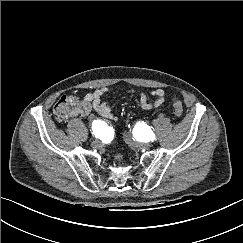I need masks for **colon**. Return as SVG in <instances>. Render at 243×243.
I'll list each match as a JSON object with an SVG mask.
<instances>
[{
	"label": "colon",
	"mask_w": 243,
	"mask_h": 243,
	"mask_svg": "<svg viewBox=\"0 0 243 243\" xmlns=\"http://www.w3.org/2000/svg\"><path fill=\"white\" fill-rule=\"evenodd\" d=\"M79 105V99L74 95H63L61 96L56 104L54 105L53 113L57 121H66L70 116L73 115L74 111ZM173 112L177 117L183 115V104L180 100L173 98L171 101ZM121 160V157H117Z\"/></svg>",
	"instance_id": "1"
}]
</instances>
